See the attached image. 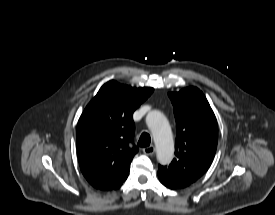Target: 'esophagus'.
Here are the masks:
<instances>
[{
  "label": "esophagus",
  "instance_id": "1",
  "mask_svg": "<svg viewBox=\"0 0 275 215\" xmlns=\"http://www.w3.org/2000/svg\"><path fill=\"white\" fill-rule=\"evenodd\" d=\"M143 152L146 155H153L155 153V147L154 146L145 147L143 148Z\"/></svg>",
  "mask_w": 275,
  "mask_h": 215
}]
</instances>
